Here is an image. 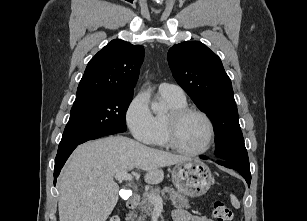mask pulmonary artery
<instances>
[{
  "label": "pulmonary artery",
  "instance_id": "obj_1",
  "mask_svg": "<svg viewBox=\"0 0 307 221\" xmlns=\"http://www.w3.org/2000/svg\"><path fill=\"white\" fill-rule=\"evenodd\" d=\"M159 93L161 95L171 97L178 100L185 99V93L181 87L175 84L161 83L159 85Z\"/></svg>",
  "mask_w": 307,
  "mask_h": 221
}]
</instances>
